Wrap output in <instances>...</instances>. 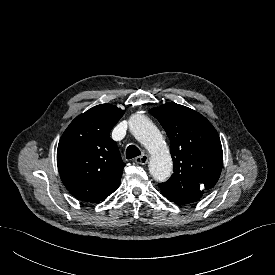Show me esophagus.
<instances>
[{
	"mask_svg": "<svg viewBox=\"0 0 275 275\" xmlns=\"http://www.w3.org/2000/svg\"><path fill=\"white\" fill-rule=\"evenodd\" d=\"M135 162L140 165H145L148 163V155L142 154L141 156H138L135 158Z\"/></svg>",
	"mask_w": 275,
	"mask_h": 275,
	"instance_id": "34e87169",
	"label": "esophagus"
}]
</instances>
